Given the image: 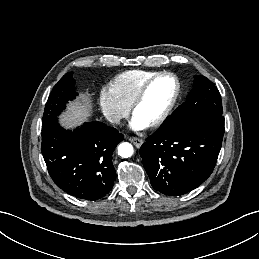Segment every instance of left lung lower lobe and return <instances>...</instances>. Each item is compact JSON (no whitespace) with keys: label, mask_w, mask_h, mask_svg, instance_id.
<instances>
[{"label":"left lung lower lobe","mask_w":259,"mask_h":259,"mask_svg":"<svg viewBox=\"0 0 259 259\" xmlns=\"http://www.w3.org/2000/svg\"><path fill=\"white\" fill-rule=\"evenodd\" d=\"M224 132L223 115L205 113L149 136L140 155L152 187L179 196L202 184L215 167Z\"/></svg>","instance_id":"obj_1"}]
</instances>
